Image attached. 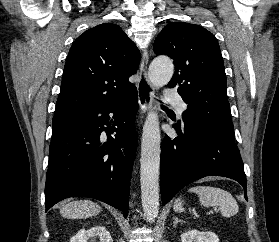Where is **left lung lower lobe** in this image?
<instances>
[{
	"mask_svg": "<svg viewBox=\"0 0 279 242\" xmlns=\"http://www.w3.org/2000/svg\"><path fill=\"white\" fill-rule=\"evenodd\" d=\"M178 137L165 136L161 144L160 189L162 203L169 202L187 184L205 176L228 177L245 191L244 165L234 139L208 129L176 127Z\"/></svg>",
	"mask_w": 279,
	"mask_h": 242,
	"instance_id": "obj_1",
	"label": "left lung lower lobe"
}]
</instances>
